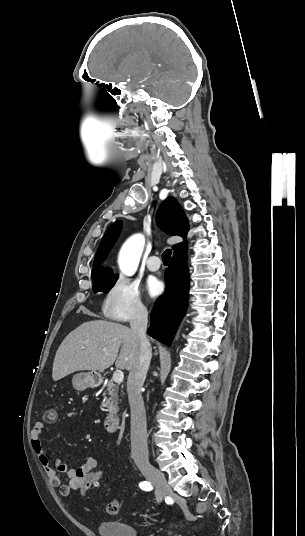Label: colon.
I'll list each match as a JSON object with an SVG mask.
<instances>
[{
    "label": "colon",
    "instance_id": "5ec220e1",
    "mask_svg": "<svg viewBox=\"0 0 305 536\" xmlns=\"http://www.w3.org/2000/svg\"><path fill=\"white\" fill-rule=\"evenodd\" d=\"M56 416V409L55 408H48L44 412V417L46 421H53ZM103 474H106V471H103ZM84 482L82 483L81 491L83 492V495H86V492L89 489H92L95 485L101 482L102 477L98 473H88L84 477ZM106 510L109 514H117L120 510V501L118 499H112L108 502Z\"/></svg>",
    "mask_w": 305,
    "mask_h": 536
}]
</instances>
